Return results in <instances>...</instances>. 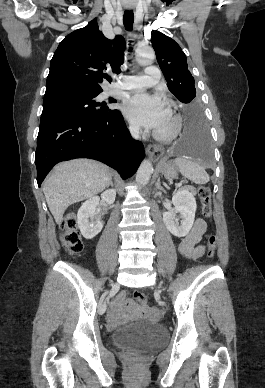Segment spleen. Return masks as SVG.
Instances as JSON below:
<instances>
[{
  "label": "spleen",
  "mask_w": 265,
  "mask_h": 388,
  "mask_svg": "<svg viewBox=\"0 0 265 388\" xmlns=\"http://www.w3.org/2000/svg\"><path fill=\"white\" fill-rule=\"evenodd\" d=\"M174 162L178 166L182 176L188 178L194 184H207L209 182L208 174H206L205 170L199 164L193 162L191 158L181 156V158H175Z\"/></svg>",
  "instance_id": "1"
}]
</instances>
